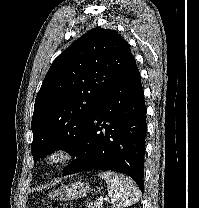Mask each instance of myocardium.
<instances>
[{
  "label": "myocardium",
  "instance_id": "1",
  "mask_svg": "<svg viewBox=\"0 0 199 208\" xmlns=\"http://www.w3.org/2000/svg\"><path fill=\"white\" fill-rule=\"evenodd\" d=\"M74 158V150L67 144H57L46 154V162L52 167H61Z\"/></svg>",
  "mask_w": 199,
  "mask_h": 208
}]
</instances>
